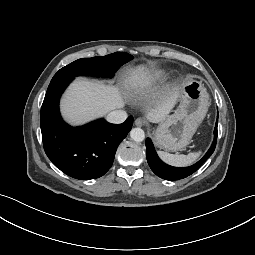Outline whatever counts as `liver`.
<instances>
[{"mask_svg": "<svg viewBox=\"0 0 255 255\" xmlns=\"http://www.w3.org/2000/svg\"><path fill=\"white\" fill-rule=\"evenodd\" d=\"M149 80L144 67H139L131 76V87H143ZM179 98V88H175L155 108L149 109L146 117L154 123L163 121L171 112ZM120 90L99 81L77 79L66 91L61 110L64 118L71 124H82L96 117L104 116L124 106Z\"/></svg>", "mask_w": 255, "mask_h": 255, "instance_id": "6515ba94", "label": "liver"}]
</instances>
